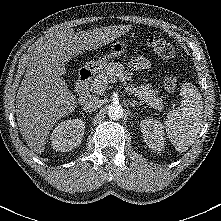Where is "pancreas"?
<instances>
[{
  "label": "pancreas",
  "mask_w": 221,
  "mask_h": 221,
  "mask_svg": "<svg viewBox=\"0 0 221 221\" xmlns=\"http://www.w3.org/2000/svg\"><path fill=\"white\" fill-rule=\"evenodd\" d=\"M129 73L120 63H109L91 82L90 91L94 94L101 95L105 92L108 82L115 80L116 76L126 85V80H130ZM131 83V82H130ZM128 83L125 87L126 92L135 95L141 103H146L158 111L164 109L163 100L158 96V91L151 89L150 85L135 87Z\"/></svg>",
  "instance_id": "pancreas-1"
}]
</instances>
